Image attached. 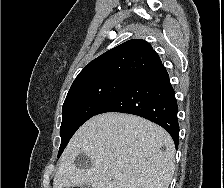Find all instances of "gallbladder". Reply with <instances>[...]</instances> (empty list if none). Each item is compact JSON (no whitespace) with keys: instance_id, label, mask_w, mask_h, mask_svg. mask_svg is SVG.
I'll return each mask as SVG.
<instances>
[{"instance_id":"gallbladder-1","label":"gallbladder","mask_w":224,"mask_h":188,"mask_svg":"<svg viewBox=\"0 0 224 188\" xmlns=\"http://www.w3.org/2000/svg\"><path fill=\"white\" fill-rule=\"evenodd\" d=\"M80 188H91V185L88 183H85V184L81 185Z\"/></svg>"}]
</instances>
